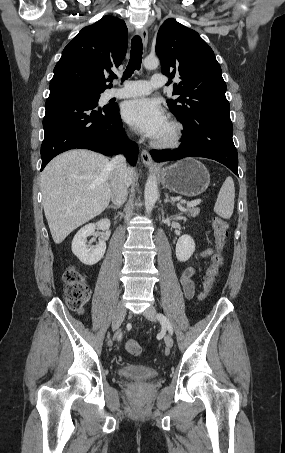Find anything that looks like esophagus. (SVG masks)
<instances>
[{
    "mask_svg": "<svg viewBox=\"0 0 285 453\" xmlns=\"http://www.w3.org/2000/svg\"><path fill=\"white\" fill-rule=\"evenodd\" d=\"M140 36L143 42V46L146 48L148 43V31L147 28L144 26L140 30ZM141 159L143 164L151 169L157 168V164L154 162L152 156L150 155L149 151L143 149L141 152Z\"/></svg>",
    "mask_w": 285,
    "mask_h": 453,
    "instance_id": "obj_1",
    "label": "esophagus"
}]
</instances>
